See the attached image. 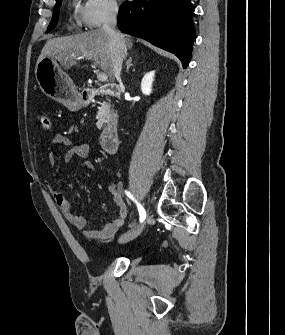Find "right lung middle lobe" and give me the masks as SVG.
Returning <instances> with one entry per match:
<instances>
[{
	"label": "right lung middle lobe",
	"instance_id": "right-lung-middle-lobe-1",
	"mask_svg": "<svg viewBox=\"0 0 285 335\" xmlns=\"http://www.w3.org/2000/svg\"><path fill=\"white\" fill-rule=\"evenodd\" d=\"M60 5H61V2L55 5L54 14H53L51 23L48 27V32L51 31L57 25Z\"/></svg>",
	"mask_w": 285,
	"mask_h": 335
}]
</instances>
